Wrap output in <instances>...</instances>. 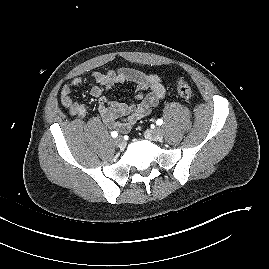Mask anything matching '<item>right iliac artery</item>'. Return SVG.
<instances>
[{"mask_svg": "<svg viewBox=\"0 0 269 269\" xmlns=\"http://www.w3.org/2000/svg\"><path fill=\"white\" fill-rule=\"evenodd\" d=\"M111 136L116 138L118 136V133L116 131L111 132Z\"/></svg>", "mask_w": 269, "mask_h": 269, "instance_id": "1", "label": "right iliac artery"}]
</instances>
